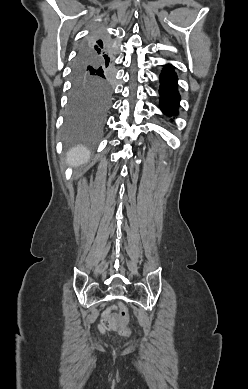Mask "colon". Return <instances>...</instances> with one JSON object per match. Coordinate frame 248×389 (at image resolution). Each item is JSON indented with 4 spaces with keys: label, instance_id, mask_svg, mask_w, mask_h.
Here are the masks:
<instances>
[{
    "label": "colon",
    "instance_id": "1",
    "mask_svg": "<svg viewBox=\"0 0 248 389\" xmlns=\"http://www.w3.org/2000/svg\"><path fill=\"white\" fill-rule=\"evenodd\" d=\"M117 312H118V318L119 322L116 323L115 321H110L108 323V326L110 328H118L120 334L124 337H131L132 332L128 327V320H129V311L125 304L119 303L117 305Z\"/></svg>",
    "mask_w": 248,
    "mask_h": 389
}]
</instances>
